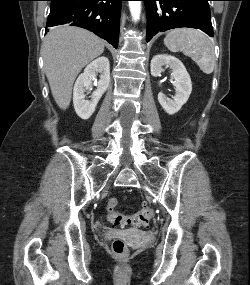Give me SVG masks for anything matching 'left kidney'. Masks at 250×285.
Returning <instances> with one entry per match:
<instances>
[{"label": "left kidney", "instance_id": "left-kidney-1", "mask_svg": "<svg viewBox=\"0 0 250 285\" xmlns=\"http://www.w3.org/2000/svg\"><path fill=\"white\" fill-rule=\"evenodd\" d=\"M164 66L171 69L176 95L173 99H169L163 93H159L158 102L167 114L174 115L187 102L192 91V83L183 63L176 57L166 54L156 55L152 58L151 75L160 76Z\"/></svg>", "mask_w": 250, "mask_h": 285}]
</instances>
